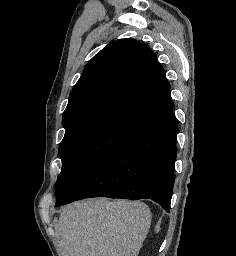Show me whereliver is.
<instances>
[{
  "label": "liver",
  "mask_w": 236,
  "mask_h": 256,
  "mask_svg": "<svg viewBox=\"0 0 236 256\" xmlns=\"http://www.w3.org/2000/svg\"><path fill=\"white\" fill-rule=\"evenodd\" d=\"M150 224L143 202H74L62 208L56 226L61 256H138Z\"/></svg>",
  "instance_id": "1"
}]
</instances>
